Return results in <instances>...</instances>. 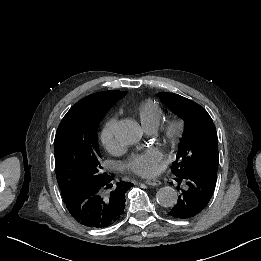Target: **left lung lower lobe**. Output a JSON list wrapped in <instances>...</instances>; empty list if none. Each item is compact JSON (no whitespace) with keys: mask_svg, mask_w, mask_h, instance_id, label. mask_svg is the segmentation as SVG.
I'll return each instance as SVG.
<instances>
[{"mask_svg":"<svg viewBox=\"0 0 261 261\" xmlns=\"http://www.w3.org/2000/svg\"><path fill=\"white\" fill-rule=\"evenodd\" d=\"M176 181L179 184L183 183L182 187L178 186V201L169 214L178 219H187L199 214L207 206L216 186V179L192 171L181 175Z\"/></svg>","mask_w":261,"mask_h":261,"instance_id":"obj_1","label":"left lung lower lobe"}]
</instances>
